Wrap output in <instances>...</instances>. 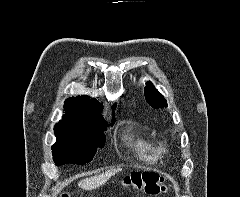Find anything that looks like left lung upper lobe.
Masks as SVG:
<instances>
[{"mask_svg": "<svg viewBox=\"0 0 240 197\" xmlns=\"http://www.w3.org/2000/svg\"><path fill=\"white\" fill-rule=\"evenodd\" d=\"M146 101L153 108H163L167 107V102L163 95H161L152 85V83L147 82L146 87L144 89Z\"/></svg>", "mask_w": 240, "mask_h": 197, "instance_id": "left-lung-upper-lobe-1", "label": "left lung upper lobe"}]
</instances>
